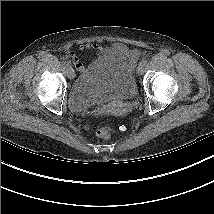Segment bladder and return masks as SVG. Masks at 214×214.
I'll use <instances>...</instances> for the list:
<instances>
[{
  "label": "bladder",
  "instance_id": "bladder-1",
  "mask_svg": "<svg viewBox=\"0 0 214 214\" xmlns=\"http://www.w3.org/2000/svg\"><path fill=\"white\" fill-rule=\"evenodd\" d=\"M136 92L133 70L127 60L120 55L106 54L74 81L68 102L78 112L91 105L132 100Z\"/></svg>",
  "mask_w": 214,
  "mask_h": 214
}]
</instances>
